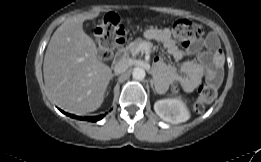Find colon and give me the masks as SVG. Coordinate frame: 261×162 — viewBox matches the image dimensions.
Here are the masks:
<instances>
[{"mask_svg": "<svg viewBox=\"0 0 261 162\" xmlns=\"http://www.w3.org/2000/svg\"><path fill=\"white\" fill-rule=\"evenodd\" d=\"M173 37L182 45L186 46L191 41L199 39L203 34L202 27L188 19H177L172 27ZM95 36L98 41V55L101 59L109 60L113 56L114 46L124 42L125 29L115 13L107 14L95 28ZM173 92H178L177 86ZM216 96V85L207 82L199 88V95L194 103V110L201 113L205 105L211 103Z\"/></svg>", "mask_w": 261, "mask_h": 162, "instance_id": "1", "label": "colon"}]
</instances>
